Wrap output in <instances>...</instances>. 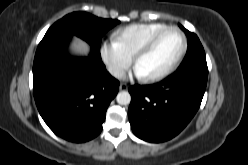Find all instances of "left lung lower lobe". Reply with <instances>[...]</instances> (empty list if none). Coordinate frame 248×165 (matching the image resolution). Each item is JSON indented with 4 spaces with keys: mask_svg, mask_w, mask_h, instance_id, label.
I'll use <instances>...</instances> for the list:
<instances>
[{
    "mask_svg": "<svg viewBox=\"0 0 248 165\" xmlns=\"http://www.w3.org/2000/svg\"><path fill=\"white\" fill-rule=\"evenodd\" d=\"M207 77L206 59H197L158 84L130 87L133 133L156 143L179 134L200 107Z\"/></svg>",
    "mask_w": 248,
    "mask_h": 165,
    "instance_id": "obj_1",
    "label": "left lung lower lobe"
}]
</instances>
